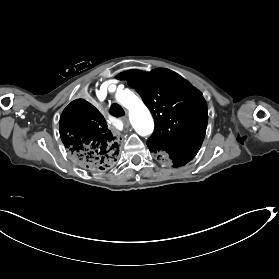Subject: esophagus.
<instances>
[{
    "label": "esophagus",
    "instance_id": "1",
    "mask_svg": "<svg viewBox=\"0 0 279 279\" xmlns=\"http://www.w3.org/2000/svg\"><path fill=\"white\" fill-rule=\"evenodd\" d=\"M120 120L122 121V123L124 124V127H129L130 126V122H129V119L127 117H120Z\"/></svg>",
    "mask_w": 279,
    "mask_h": 279
}]
</instances>
